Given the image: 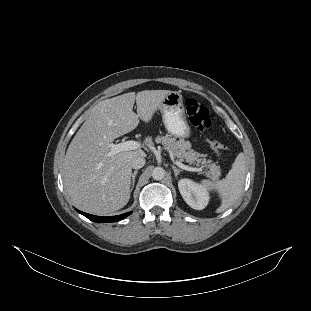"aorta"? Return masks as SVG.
<instances>
[{"instance_id": "1", "label": "aorta", "mask_w": 311, "mask_h": 311, "mask_svg": "<svg viewBox=\"0 0 311 311\" xmlns=\"http://www.w3.org/2000/svg\"><path fill=\"white\" fill-rule=\"evenodd\" d=\"M166 172L162 167H155L152 170V178L156 181H161L165 178Z\"/></svg>"}]
</instances>
